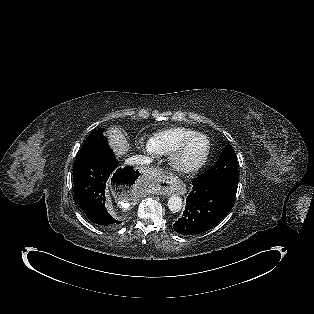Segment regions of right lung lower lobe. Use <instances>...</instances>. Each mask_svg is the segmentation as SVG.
Returning a JSON list of instances; mask_svg holds the SVG:
<instances>
[{
  "label": "right lung lower lobe",
  "instance_id": "right-lung-lower-lobe-1",
  "mask_svg": "<svg viewBox=\"0 0 314 314\" xmlns=\"http://www.w3.org/2000/svg\"><path fill=\"white\" fill-rule=\"evenodd\" d=\"M139 177L131 166L118 167L111 149L106 146L73 167L75 198L85 215L94 224L113 229L122 221L112 217L105 208L106 183L118 182L129 188Z\"/></svg>",
  "mask_w": 314,
  "mask_h": 314
}]
</instances>
